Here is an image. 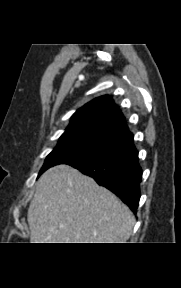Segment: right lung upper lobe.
Masks as SVG:
<instances>
[{"label":"right lung upper lobe","mask_w":181,"mask_h":288,"mask_svg":"<svg viewBox=\"0 0 181 288\" xmlns=\"http://www.w3.org/2000/svg\"><path fill=\"white\" fill-rule=\"evenodd\" d=\"M73 139L105 148L112 155L135 148L122 112L107 95L90 101L73 114L59 141Z\"/></svg>","instance_id":"obj_1"}]
</instances>
